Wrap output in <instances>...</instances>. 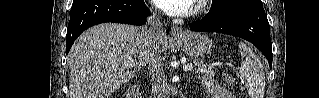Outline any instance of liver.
<instances>
[{
  "instance_id": "liver-1",
  "label": "liver",
  "mask_w": 319,
  "mask_h": 98,
  "mask_svg": "<svg viewBox=\"0 0 319 98\" xmlns=\"http://www.w3.org/2000/svg\"><path fill=\"white\" fill-rule=\"evenodd\" d=\"M168 49L165 37L160 44ZM145 27L104 23L80 35L69 52L70 98H109L148 64Z\"/></svg>"
}]
</instances>
